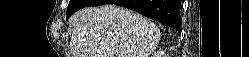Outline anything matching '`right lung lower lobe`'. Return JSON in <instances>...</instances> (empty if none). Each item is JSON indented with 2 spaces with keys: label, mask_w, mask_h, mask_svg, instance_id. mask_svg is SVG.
<instances>
[{
  "label": "right lung lower lobe",
  "mask_w": 249,
  "mask_h": 57,
  "mask_svg": "<svg viewBox=\"0 0 249 57\" xmlns=\"http://www.w3.org/2000/svg\"><path fill=\"white\" fill-rule=\"evenodd\" d=\"M116 4L181 30L180 0H91L88 6Z\"/></svg>",
  "instance_id": "1"
}]
</instances>
